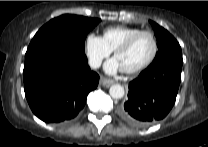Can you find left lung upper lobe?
<instances>
[{"label":"left lung upper lobe","instance_id":"obj_1","mask_svg":"<svg viewBox=\"0 0 208 147\" xmlns=\"http://www.w3.org/2000/svg\"><path fill=\"white\" fill-rule=\"evenodd\" d=\"M150 23L154 29L159 49L152 63L164 58L174 59L183 63L181 47L177 40L166 29L159 26L157 23L153 21H150Z\"/></svg>","mask_w":208,"mask_h":147}]
</instances>
